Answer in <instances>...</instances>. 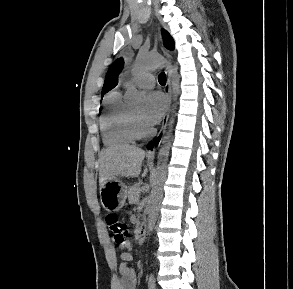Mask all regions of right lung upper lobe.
Listing matches in <instances>:
<instances>
[{
  "instance_id": "obj_1",
  "label": "right lung upper lobe",
  "mask_w": 293,
  "mask_h": 289,
  "mask_svg": "<svg viewBox=\"0 0 293 289\" xmlns=\"http://www.w3.org/2000/svg\"><path fill=\"white\" fill-rule=\"evenodd\" d=\"M123 67V60L118 59L116 60L109 68L106 78H105V83L102 89V95H104L106 92L111 90L113 87L117 85V76L119 72L122 70Z\"/></svg>"
}]
</instances>
